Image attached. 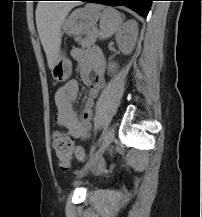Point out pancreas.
I'll return each instance as SVG.
<instances>
[{
  "instance_id": "pancreas-1",
  "label": "pancreas",
  "mask_w": 202,
  "mask_h": 217,
  "mask_svg": "<svg viewBox=\"0 0 202 217\" xmlns=\"http://www.w3.org/2000/svg\"><path fill=\"white\" fill-rule=\"evenodd\" d=\"M98 31L92 30L83 34H78L75 37V41L78 42L82 47H90L96 42V39L98 37Z\"/></svg>"
}]
</instances>
